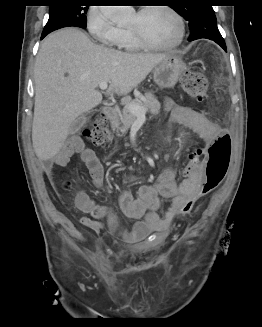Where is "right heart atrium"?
Listing matches in <instances>:
<instances>
[{
	"label": "right heart atrium",
	"instance_id": "obj_1",
	"mask_svg": "<svg viewBox=\"0 0 262 327\" xmlns=\"http://www.w3.org/2000/svg\"><path fill=\"white\" fill-rule=\"evenodd\" d=\"M87 29L93 38L107 46H120L122 29L111 19L108 7L94 5L86 17Z\"/></svg>",
	"mask_w": 262,
	"mask_h": 327
}]
</instances>
